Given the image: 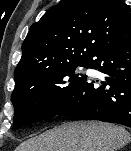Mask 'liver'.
I'll use <instances>...</instances> for the list:
<instances>
[{
	"mask_svg": "<svg viewBox=\"0 0 131 151\" xmlns=\"http://www.w3.org/2000/svg\"><path fill=\"white\" fill-rule=\"evenodd\" d=\"M131 141L124 128L102 122H70L23 142L15 151H117Z\"/></svg>",
	"mask_w": 131,
	"mask_h": 151,
	"instance_id": "1",
	"label": "liver"
}]
</instances>
